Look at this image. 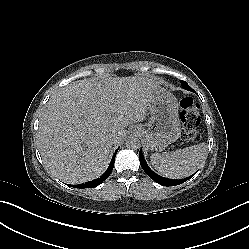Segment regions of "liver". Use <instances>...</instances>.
I'll return each mask as SVG.
<instances>
[{
  "label": "liver",
  "instance_id": "1",
  "mask_svg": "<svg viewBox=\"0 0 249 249\" xmlns=\"http://www.w3.org/2000/svg\"><path fill=\"white\" fill-rule=\"evenodd\" d=\"M156 87L149 79H93L58 92L39 123L37 147L44 165L72 173L75 183L102 175L125 127L144 120L147 97Z\"/></svg>",
  "mask_w": 249,
  "mask_h": 249
}]
</instances>
